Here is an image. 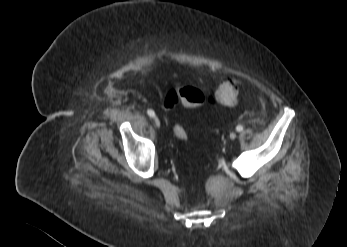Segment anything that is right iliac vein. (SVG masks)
I'll list each match as a JSON object with an SVG mask.
<instances>
[{"mask_svg": "<svg viewBox=\"0 0 347 247\" xmlns=\"http://www.w3.org/2000/svg\"><path fill=\"white\" fill-rule=\"evenodd\" d=\"M154 125L158 128L161 126V122L157 117H154Z\"/></svg>", "mask_w": 347, "mask_h": 247, "instance_id": "1", "label": "right iliac vein"}]
</instances>
